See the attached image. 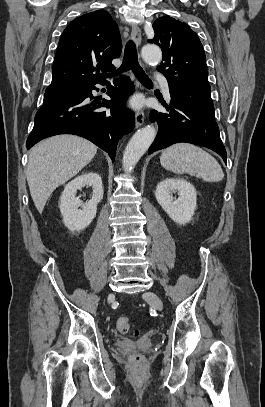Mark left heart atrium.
<instances>
[{
  "label": "left heart atrium",
  "instance_id": "obj_1",
  "mask_svg": "<svg viewBox=\"0 0 265 407\" xmlns=\"http://www.w3.org/2000/svg\"><path fill=\"white\" fill-rule=\"evenodd\" d=\"M134 104H135V105H137L138 103H137V102H135Z\"/></svg>",
  "mask_w": 265,
  "mask_h": 407
}]
</instances>
